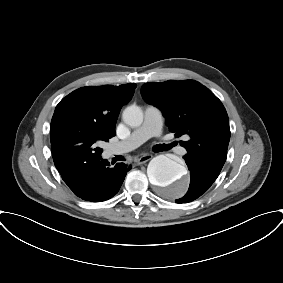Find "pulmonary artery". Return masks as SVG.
I'll list each match as a JSON object with an SVG mask.
<instances>
[{
	"mask_svg": "<svg viewBox=\"0 0 283 283\" xmlns=\"http://www.w3.org/2000/svg\"><path fill=\"white\" fill-rule=\"evenodd\" d=\"M163 118L161 111L152 105L145 108L144 121L140 127L134 130L125 140L113 144L110 147L112 154L129 152L151 137L159 136L162 132Z\"/></svg>",
	"mask_w": 283,
	"mask_h": 283,
	"instance_id": "obj_1",
	"label": "pulmonary artery"
}]
</instances>
